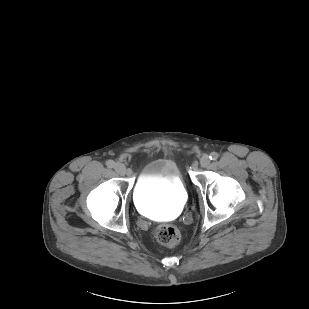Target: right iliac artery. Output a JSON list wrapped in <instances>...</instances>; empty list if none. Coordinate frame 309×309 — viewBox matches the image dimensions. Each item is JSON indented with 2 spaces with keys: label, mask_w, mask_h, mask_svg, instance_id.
<instances>
[{
  "label": "right iliac artery",
  "mask_w": 309,
  "mask_h": 309,
  "mask_svg": "<svg viewBox=\"0 0 309 309\" xmlns=\"http://www.w3.org/2000/svg\"><path fill=\"white\" fill-rule=\"evenodd\" d=\"M106 165H107L109 168H113L114 165H115V163H114L113 160H108V161L106 162Z\"/></svg>",
  "instance_id": "1"
}]
</instances>
